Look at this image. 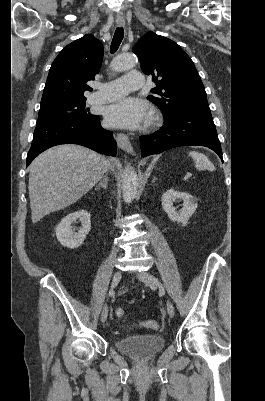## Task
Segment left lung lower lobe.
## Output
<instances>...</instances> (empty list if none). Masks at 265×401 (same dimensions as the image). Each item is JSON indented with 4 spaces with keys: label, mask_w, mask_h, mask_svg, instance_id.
I'll return each mask as SVG.
<instances>
[{
    "label": "left lung lower lobe",
    "mask_w": 265,
    "mask_h": 401,
    "mask_svg": "<svg viewBox=\"0 0 265 401\" xmlns=\"http://www.w3.org/2000/svg\"><path fill=\"white\" fill-rule=\"evenodd\" d=\"M142 156L159 154L178 146H205L222 159V150L210 109H186L164 116V126L140 138Z\"/></svg>",
    "instance_id": "0a47b994"
}]
</instances>
